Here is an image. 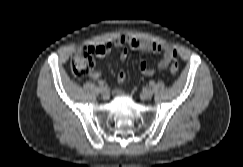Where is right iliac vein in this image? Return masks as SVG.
I'll return each instance as SVG.
<instances>
[{"label": "right iliac vein", "mask_w": 243, "mask_h": 167, "mask_svg": "<svg viewBox=\"0 0 243 167\" xmlns=\"http://www.w3.org/2000/svg\"><path fill=\"white\" fill-rule=\"evenodd\" d=\"M99 91H100L101 95L104 98H108L109 97V89L108 88H106V87H100L99 88Z\"/></svg>", "instance_id": "1"}]
</instances>
